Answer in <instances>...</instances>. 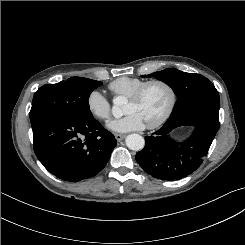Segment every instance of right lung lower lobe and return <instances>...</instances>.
<instances>
[{
  "mask_svg": "<svg viewBox=\"0 0 245 245\" xmlns=\"http://www.w3.org/2000/svg\"><path fill=\"white\" fill-rule=\"evenodd\" d=\"M31 125L37 158L65 181L78 182L98 174L117 144L114 135L94 117L68 121L45 116Z\"/></svg>",
  "mask_w": 245,
  "mask_h": 245,
  "instance_id": "obj_1",
  "label": "right lung lower lobe"
}]
</instances>
